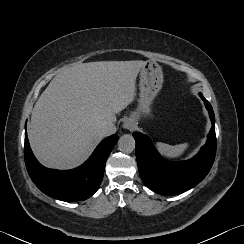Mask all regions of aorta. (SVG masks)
Instances as JSON below:
<instances>
[{"label":"aorta","instance_id":"762f6f07","mask_svg":"<svg viewBox=\"0 0 244 244\" xmlns=\"http://www.w3.org/2000/svg\"><path fill=\"white\" fill-rule=\"evenodd\" d=\"M118 148L121 152L129 154L135 150V140L132 135L125 134L118 140Z\"/></svg>","mask_w":244,"mask_h":244}]
</instances>
